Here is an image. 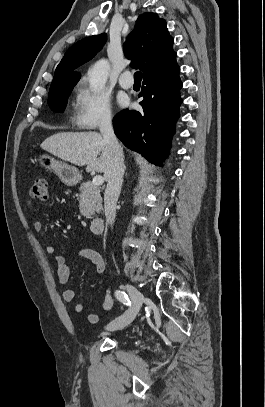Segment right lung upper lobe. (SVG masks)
Instances as JSON below:
<instances>
[{
	"label": "right lung upper lobe",
	"mask_w": 265,
	"mask_h": 407,
	"mask_svg": "<svg viewBox=\"0 0 265 407\" xmlns=\"http://www.w3.org/2000/svg\"><path fill=\"white\" fill-rule=\"evenodd\" d=\"M106 41V34L84 38L65 53L56 68L52 85L62 82L77 83L81 77L74 69L92 59ZM174 39L167 31V23L156 13H145L137 19L135 29L124 43V53L131 67L144 74L150 72L160 61L174 53Z\"/></svg>",
	"instance_id": "1"
}]
</instances>
